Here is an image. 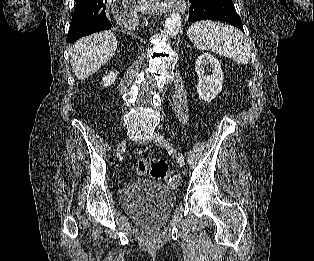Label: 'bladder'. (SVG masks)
<instances>
[{"label":"bladder","mask_w":314,"mask_h":261,"mask_svg":"<svg viewBox=\"0 0 314 261\" xmlns=\"http://www.w3.org/2000/svg\"><path fill=\"white\" fill-rule=\"evenodd\" d=\"M120 203L129 216L148 225H157L168 218L175 204V193L163 183L136 180L122 186Z\"/></svg>","instance_id":"1"}]
</instances>
